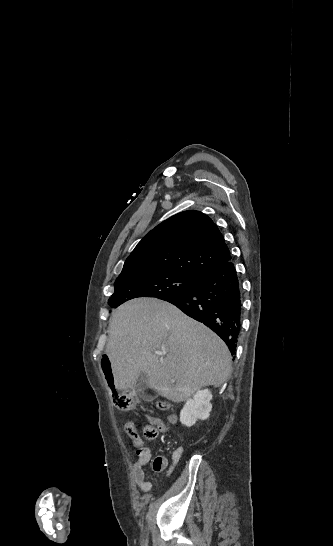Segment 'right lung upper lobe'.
I'll use <instances>...</instances> for the list:
<instances>
[{"label":"right lung upper lobe","mask_w":333,"mask_h":546,"mask_svg":"<svg viewBox=\"0 0 333 546\" xmlns=\"http://www.w3.org/2000/svg\"><path fill=\"white\" fill-rule=\"evenodd\" d=\"M231 258L216 224L207 215L188 210L151 230L126 259L122 272H173L201 278Z\"/></svg>","instance_id":"obj_1"}]
</instances>
